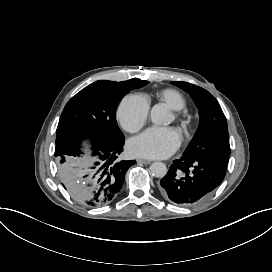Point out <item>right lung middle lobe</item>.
Listing matches in <instances>:
<instances>
[{
  "label": "right lung middle lobe",
  "instance_id": "right-lung-middle-lobe-1",
  "mask_svg": "<svg viewBox=\"0 0 272 272\" xmlns=\"http://www.w3.org/2000/svg\"><path fill=\"white\" fill-rule=\"evenodd\" d=\"M148 81L130 79L115 82L96 81L72 97L66 104L56 131V145L75 136H93L108 142L124 140L116 122V108L121 98Z\"/></svg>",
  "mask_w": 272,
  "mask_h": 272
}]
</instances>
